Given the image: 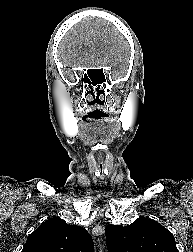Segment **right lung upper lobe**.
Instances as JSON below:
<instances>
[{
    "label": "right lung upper lobe",
    "mask_w": 193,
    "mask_h": 252,
    "mask_svg": "<svg viewBox=\"0 0 193 252\" xmlns=\"http://www.w3.org/2000/svg\"><path fill=\"white\" fill-rule=\"evenodd\" d=\"M93 240L80 226L53 217L28 237L22 252H93Z\"/></svg>",
    "instance_id": "cb5924a9"
}]
</instances>
